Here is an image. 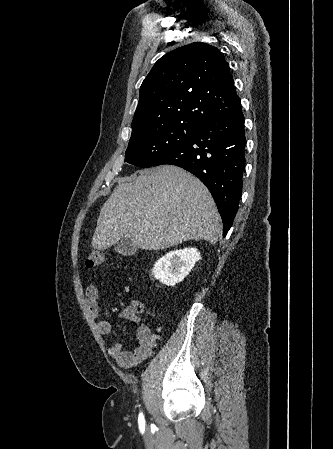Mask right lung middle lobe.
<instances>
[{
  "mask_svg": "<svg viewBox=\"0 0 333 449\" xmlns=\"http://www.w3.org/2000/svg\"><path fill=\"white\" fill-rule=\"evenodd\" d=\"M200 127V124L192 122H175L132 137L126 150L125 162L144 168L156 166Z\"/></svg>",
  "mask_w": 333,
  "mask_h": 449,
  "instance_id": "right-lung-middle-lobe-1",
  "label": "right lung middle lobe"
}]
</instances>
